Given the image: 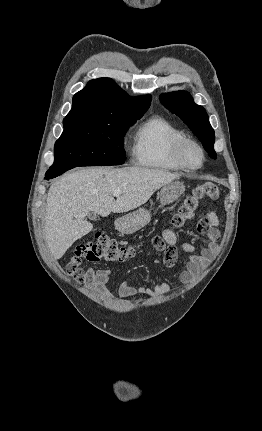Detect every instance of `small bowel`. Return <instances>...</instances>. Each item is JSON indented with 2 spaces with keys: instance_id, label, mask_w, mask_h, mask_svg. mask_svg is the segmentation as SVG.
<instances>
[{
  "instance_id": "obj_1",
  "label": "small bowel",
  "mask_w": 262,
  "mask_h": 431,
  "mask_svg": "<svg viewBox=\"0 0 262 431\" xmlns=\"http://www.w3.org/2000/svg\"><path fill=\"white\" fill-rule=\"evenodd\" d=\"M205 220L198 225V231L207 239V247L200 253L195 246L183 243L182 249L189 253L186 265L179 274V280L182 285L191 283L195 278L200 276L207 267L211 256L217 248L219 240V218L217 214L205 205ZM162 236L168 244V249L164 250V264L171 268L177 263L178 239L174 232L164 230ZM77 282L83 284L88 290L98 291L104 298L111 299L113 294L109 284L110 271L108 269H88L81 275H74ZM171 283L162 282L154 286H132L126 281L122 282L119 288V295L130 297L136 294H142L147 297H154L167 292Z\"/></svg>"
}]
</instances>
